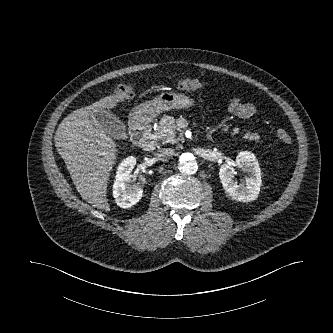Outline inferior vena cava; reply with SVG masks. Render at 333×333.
Instances as JSON below:
<instances>
[{
    "mask_svg": "<svg viewBox=\"0 0 333 333\" xmlns=\"http://www.w3.org/2000/svg\"><path fill=\"white\" fill-rule=\"evenodd\" d=\"M175 154L174 149L171 148H162L160 150H158L156 152V157L160 160V161H167L168 159H170L173 155Z\"/></svg>",
    "mask_w": 333,
    "mask_h": 333,
    "instance_id": "1",
    "label": "inferior vena cava"
}]
</instances>
